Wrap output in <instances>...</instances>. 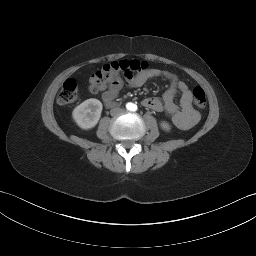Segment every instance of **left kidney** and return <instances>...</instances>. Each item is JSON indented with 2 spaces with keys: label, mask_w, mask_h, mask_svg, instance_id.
Instances as JSON below:
<instances>
[{
  "label": "left kidney",
  "mask_w": 256,
  "mask_h": 256,
  "mask_svg": "<svg viewBox=\"0 0 256 256\" xmlns=\"http://www.w3.org/2000/svg\"><path fill=\"white\" fill-rule=\"evenodd\" d=\"M160 126H161V128H162L163 130H165V131H170V129H171L169 123L166 122V121H162V122L160 123Z\"/></svg>",
  "instance_id": "obj_1"
}]
</instances>
